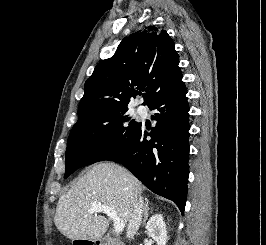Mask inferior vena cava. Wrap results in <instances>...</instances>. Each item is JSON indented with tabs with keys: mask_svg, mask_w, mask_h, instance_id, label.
Wrapping results in <instances>:
<instances>
[{
	"mask_svg": "<svg viewBox=\"0 0 266 245\" xmlns=\"http://www.w3.org/2000/svg\"><path fill=\"white\" fill-rule=\"evenodd\" d=\"M143 209H144L143 197H141V193H137V191H134V193H132L130 221L128 223L127 233H126L128 241H131V239H133L134 235H136L140 227Z\"/></svg>",
	"mask_w": 266,
	"mask_h": 245,
	"instance_id": "1",
	"label": "inferior vena cava"
}]
</instances>
